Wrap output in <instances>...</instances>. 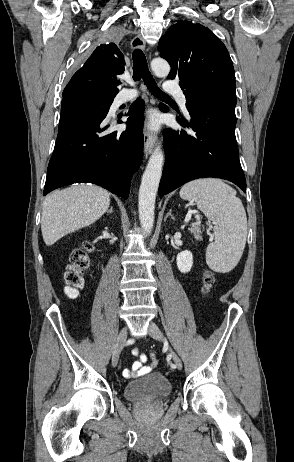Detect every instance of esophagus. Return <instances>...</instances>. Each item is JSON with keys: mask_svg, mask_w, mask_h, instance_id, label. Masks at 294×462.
<instances>
[{"mask_svg": "<svg viewBox=\"0 0 294 462\" xmlns=\"http://www.w3.org/2000/svg\"><path fill=\"white\" fill-rule=\"evenodd\" d=\"M145 45H146L145 40L140 35L135 36L131 41V48L133 50L135 49L143 50L145 48ZM155 141H156L155 135L151 133L150 131L145 130L144 131V152L146 156H148L153 150Z\"/></svg>", "mask_w": 294, "mask_h": 462, "instance_id": "obj_1", "label": "esophagus"}]
</instances>
